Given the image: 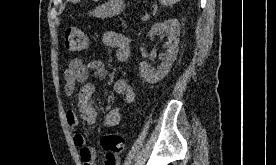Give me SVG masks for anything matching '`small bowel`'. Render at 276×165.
I'll return each mask as SVG.
<instances>
[{
	"instance_id": "1",
	"label": "small bowel",
	"mask_w": 276,
	"mask_h": 165,
	"mask_svg": "<svg viewBox=\"0 0 276 165\" xmlns=\"http://www.w3.org/2000/svg\"><path fill=\"white\" fill-rule=\"evenodd\" d=\"M103 43L114 49L117 59L120 62H126L131 54L130 40L127 36L107 31L102 37ZM93 74L97 77L104 78L107 74L106 68L102 61L98 59H92L88 62L76 58L71 60L64 71L65 79V94L71 97L77 85H81L77 95L78 99V112L80 118L88 125H93L97 120V110L94 102L95 86L88 81L89 76ZM114 92L117 95L122 96L123 101L127 104L133 103L135 100V91L133 88L123 79H118L113 84ZM67 123L72 131V138L74 144L79 150L80 157L83 165H98L96 163V152L90 147L85 138L76 131L79 118L78 115L69 110L66 113ZM121 120V108L116 106L110 109L103 119V125L106 128H112L117 126ZM105 165H119V159L116 156L106 155Z\"/></svg>"
}]
</instances>
